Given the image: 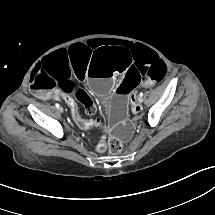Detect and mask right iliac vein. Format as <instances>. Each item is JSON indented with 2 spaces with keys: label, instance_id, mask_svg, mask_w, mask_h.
Wrapping results in <instances>:
<instances>
[{
  "label": "right iliac vein",
  "instance_id": "obj_1",
  "mask_svg": "<svg viewBox=\"0 0 215 215\" xmlns=\"http://www.w3.org/2000/svg\"><path fill=\"white\" fill-rule=\"evenodd\" d=\"M58 111H59V112H63V108H62V107H59V108H58Z\"/></svg>",
  "mask_w": 215,
  "mask_h": 215
}]
</instances>
